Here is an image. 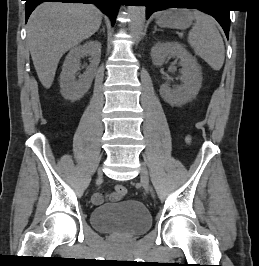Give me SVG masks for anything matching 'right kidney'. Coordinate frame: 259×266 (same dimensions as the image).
<instances>
[{
  "mask_svg": "<svg viewBox=\"0 0 259 266\" xmlns=\"http://www.w3.org/2000/svg\"><path fill=\"white\" fill-rule=\"evenodd\" d=\"M85 56H90V65L83 75L76 80L80 59ZM100 58L101 43L96 40L87 41L83 45L75 46L70 50L60 74L61 94L65 99L76 101L87 93L100 63Z\"/></svg>",
  "mask_w": 259,
  "mask_h": 266,
  "instance_id": "1",
  "label": "right kidney"
}]
</instances>
